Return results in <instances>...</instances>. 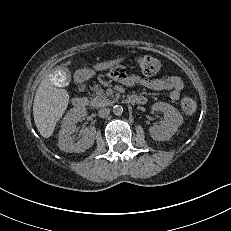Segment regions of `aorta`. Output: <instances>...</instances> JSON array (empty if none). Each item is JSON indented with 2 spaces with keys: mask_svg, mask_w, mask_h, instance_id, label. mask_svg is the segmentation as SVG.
Masks as SVG:
<instances>
[{
  "mask_svg": "<svg viewBox=\"0 0 231 231\" xmlns=\"http://www.w3.org/2000/svg\"><path fill=\"white\" fill-rule=\"evenodd\" d=\"M113 113L115 115H121L123 113V107L121 105H115L113 107Z\"/></svg>",
  "mask_w": 231,
  "mask_h": 231,
  "instance_id": "1",
  "label": "aorta"
}]
</instances>
